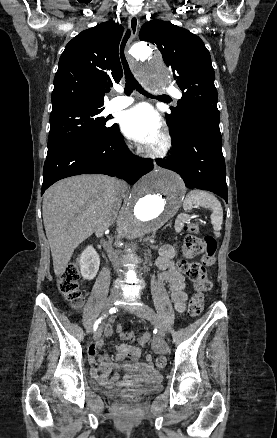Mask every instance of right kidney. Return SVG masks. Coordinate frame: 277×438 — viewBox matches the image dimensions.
I'll use <instances>...</instances> for the list:
<instances>
[{"label": "right kidney", "mask_w": 277, "mask_h": 438, "mask_svg": "<svg viewBox=\"0 0 277 438\" xmlns=\"http://www.w3.org/2000/svg\"><path fill=\"white\" fill-rule=\"evenodd\" d=\"M79 262L83 280H93L99 270L100 258L92 246H87L82 252Z\"/></svg>", "instance_id": "ca27d5eb"}]
</instances>
